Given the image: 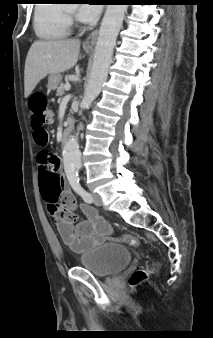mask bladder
<instances>
[{
  "instance_id": "obj_1",
  "label": "bladder",
  "mask_w": 213,
  "mask_h": 338,
  "mask_svg": "<svg viewBox=\"0 0 213 338\" xmlns=\"http://www.w3.org/2000/svg\"><path fill=\"white\" fill-rule=\"evenodd\" d=\"M78 261L82 268L89 270L94 276L107 278L131 263L132 252L123 244L107 243L82 254Z\"/></svg>"
}]
</instances>
